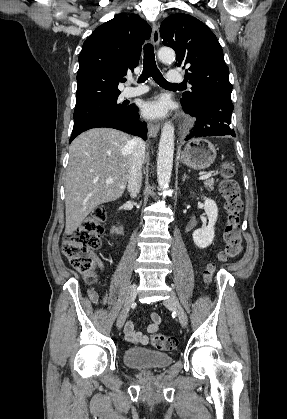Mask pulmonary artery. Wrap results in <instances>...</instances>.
I'll return each instance as SVG.
<instances>
[{
    "mask_svg": "<svg viewBox=\"0 0 287 419\" xmlns=\"http://www.w3.org/2000/svg\"><path fill=\"white\" fill-rule=\"evenodd\" d=\"M167 82L172 84H181L184 81L182 73L178 70L169 71L167 74ZM148 90L145 86L127 87L123 91L125 97H135L145 93Z\"/></svg>",
    "mask_w": 287,
    "mask_h": 419,
    "instance_id": "pulmonary-artery-1",
    "label": "pulmonary artery"
}]
</instances>
